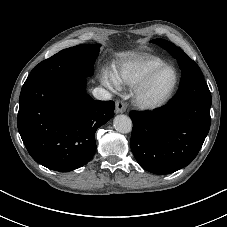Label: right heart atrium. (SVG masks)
I'll return each mask as SVG.
<instances>
[{
    "label": "right heart atrium",
    "mask_w": 227,
    "mask_h": 227,
    "mask_svg": "<svg viewBox=\"0 0 227 227\" xmlns=\"http://www.w3.org/2000/svg\"><path fill=\"white\" fill-rule=\"evenodd\" d=\"M102 83L111 91H117L119 89V85L115 81L113 75L108 72H103L101 76Z\"/></svg>",
    "instance_id": "obj_1"
}]
</instances>
